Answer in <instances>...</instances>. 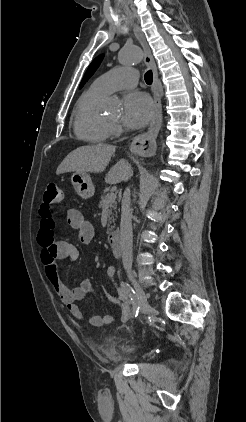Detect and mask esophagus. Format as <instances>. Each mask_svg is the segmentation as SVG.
I'll list each match as a JSON object with an SVG mask.
<instances>
[{
  "mask_svg": "<svg viewBox=\"0 0 246 422\" xmlns=\"http://www.w3.org/2000/svg\"><path fill=\"white\" fill-rule=\"evenodd\" d=\"M134 33L144 50V63L153 72L152 91L154 95L155 110L148 131L134 138L130 145V150L133 153L146 156L153 154L156 149V138L162 126V104L158 89V71L151 49L138 26H134Z\"/></svg>",
  "mask_w": 246,
  "mask_h": 422,
  "instance_id": "obj_1",
  "label": "esophagus"
}]
</instances>
